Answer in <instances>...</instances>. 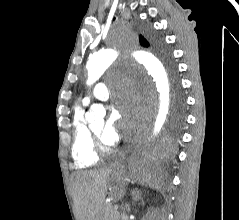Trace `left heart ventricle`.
<instances>
[{
  "instance_id": "1",
  "label": "left heart ventricle",
  "mask_w": 239,
  "mask_h": 220,
  "mask_svg": "<svg viewBox=\"0 0 239 220\" xmlns=\"http://www.w3.org/2000/svg\"><path fill=\"white\" fill-rule=\"evenodd\" d=\"M93 130L99 135L102 136V130L104 128V122L103 121H99L95 124L92 125ZM103 140V139H102ZM103 142L107 145H109L108 143H106L104 140Z\"/></svg>"
}]
</instances>
